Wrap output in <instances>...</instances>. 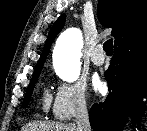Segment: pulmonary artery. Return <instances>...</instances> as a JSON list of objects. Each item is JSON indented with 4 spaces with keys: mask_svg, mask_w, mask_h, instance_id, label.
I'll return each instance as SVG.
<instances>
[{
    "mask_svg": "<svg viewBox=\"0 0 147 131\" xmlns=\"http://www.w3.org/2000/svg\"><path fill=\"white\" fill-rule=\"evenodd\" d=\"M91 60L97 66L103 65V63L105 62V56L103 54V46L101 44L96 45L95 48L93 49L91 54Z\"/></svg>",
    "mask_w": 147,
    "mask_h": 131,
    "instance_id": "e3ab8cb5",
    "label": "pulmonary artery"
}]
</instances>
